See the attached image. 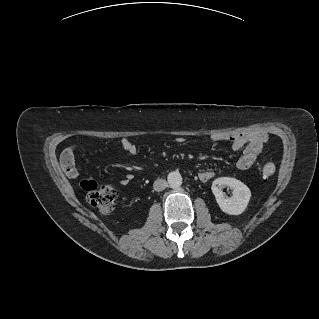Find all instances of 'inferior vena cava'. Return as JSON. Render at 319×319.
<instances>
[{"instance_id":"obj_1","label":"inferior vena cava","mask_w":319,"mask_h":319,"mask_svg":"<svg viewBox=\"0 0 319 319\" xmlns=\"http://www.w3.org/2000/svg\"><path fill=\"white\" fill-rule=\"evenodd\" d=\"M167 186V181L162 178L156 179L153 183V189L157 192L163 191Z\"/></svg>"}]
</instances>
